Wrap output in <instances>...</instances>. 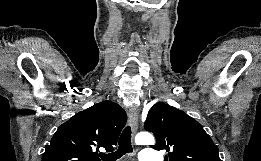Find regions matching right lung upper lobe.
<instances>
[{
    "label": "right lung upper lobe",
    "mask_w": 261,
    "mask_h": 161,
    "mask_svg": "<svg viewBox=\"0 0 261 161\" xmlns=\"http://www.w3.org/2000/svg\"><path fill=\"white\" fill-rule=\"evenodd\" d=\"M127 120L116 103L103 101L59 126L45 146L42 161H100L98 150H113Z\"/></svg>",
    "instance_id": "right-lung-upper-lobe-1"
}]
</instances>
